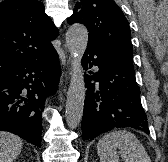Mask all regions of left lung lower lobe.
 I'll use <instances>...</instances> for the list:
<instances>
[{
    "label": "left lung lower lobe",
    "instance_id": "1",
    "mask_svg": "<svg viewBox=\"0 0 168 162\" xmlns=\"http://www.w3.org/2000/svg\"><path fill=\"white\" fill-rule=\"evenodd\" d=\"M88 70L93 65L97 72L85 74L86 98L82 119V139H93L116 128H134L149 134L140 90L134 67L101 49L89 44L82 58ZM93 72H89L91 74ZM94 80L96 83H91Z\"/></svg>",
    "mask_w": 168,
    "mask_h": 162
}]
</instances>
